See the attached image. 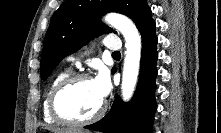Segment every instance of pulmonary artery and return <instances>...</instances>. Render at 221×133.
<instances>
[{
  "mask_svg": "<svg viewBox=\"0 0 221 133\" xmlns=\"http://www.w3.org/2000/svg\"><path fill=\"white\" fill-rule=\"evenodd\" d=\"M103 45L107 50L113 52L119 51L122 46L120 40L117 38V36L114 35L107 36L106 39L103 41ZM68 60L76 66L80 65L79 58L77 57L70 56Z\"/></svg>",
  "mask_w": 221,
  "mask_h": 133,
  "instance_id": "obj_1",
  "label": "pulmonary artery"
}]
</instances>
